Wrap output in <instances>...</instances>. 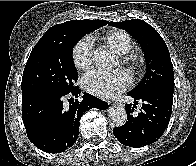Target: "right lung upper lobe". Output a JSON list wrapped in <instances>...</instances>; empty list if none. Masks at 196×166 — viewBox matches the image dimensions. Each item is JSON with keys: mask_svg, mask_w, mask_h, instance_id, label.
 <instances>
[{"mask_svg": "<svg viewBox=\"0 0 196 166\" xmlns=\"http://www.w3.org/2000/svg\"><path fill=\"white\" fill-rule=\"evenodd\" d=\"M81 22H83L84 24L88 25L89 27H91L93 30L98 29L106 24H108V21L105 20H89V19H84V20H79ZM62 24H57L54 25L53 27H51L50 29L47 30V32L43 35V37H48L51 35H55L59 33V29L60 27L63 25ZM92 30V31H93Z\"/></svg>", "mask_w": 196, "mask_h": 166, "instance_id": "right-lung-upper-lobe-1", "label": "right lung upper lobe"}]
</instances>
